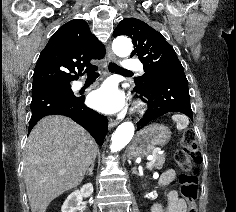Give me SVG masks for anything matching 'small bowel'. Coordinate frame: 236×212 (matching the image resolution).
I'll list each match as a JSON object with an SVG mask.
<instances>
[{"label":"small bowel","instance_id":"small-bowel-1","mask_svg":"<svg viewBox=\"0 0 236 212\" xmlns=\"http://www.w3.org/2000/svg\"><path fill=\"white\" fill-rule=\"evenodd\" d=\"M175 178L173 170L166 171L161 177L162 184L171 183ZM186 202L179 198L177 193L172 191L168 195V204L166 206L162 204H155L152 212H186Z\"/></svg>","mask_w":236,"mask_h":212}]
</instances>
